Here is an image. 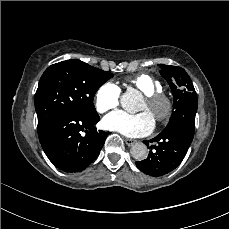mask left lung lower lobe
I'll use <instances>...</instances> for the list:
<instances>
[{"label": "left lung lower lobe", "mask_w": 229, "mask_h": 229, "mask_svg": "<svg viewBox=\"0 0 229 229\" xmlns=\"http://www.w3.org/2000/svg\"><path fill=\"white\" fill-rule=\"evenodd\" d=\"M192 139L193 136L184 130H163L150 140V142H158V145H152L154 150L149 152L147 159L136 162V166L150 176L165 175L181 163ZM144 143L148 145V141Z\"/></svg>", "instance_id": "1"}]
</instances>
